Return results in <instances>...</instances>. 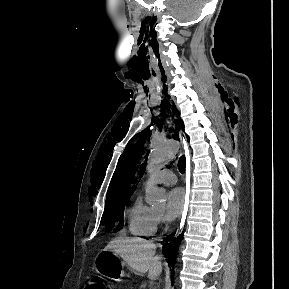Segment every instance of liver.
Listing matches in <instances>:
<instances>
[{"label": "liver", "instance_id": "1", "mask_svg": "<svg viewBox=\"0 0 289 289\" xmlns=\"http://www.w3.org/2000/svg\"><path fill=\"white\" fill-rule=\"evenodd\" d=\"M155 245L140 238H116L108 243L104 250L119 255L137 274L148 272L155 280L162 272L159 256H155Z\"/></svg>", "mask_w": 289, "mask_h": 289}]
</instances>
